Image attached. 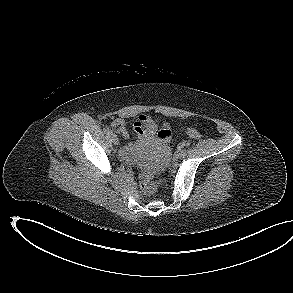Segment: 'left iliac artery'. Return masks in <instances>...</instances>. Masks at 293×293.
<instances>
[{
  "label": "left iliac artery",
  "instance_id": "obj_1",
  "mask_svg": "<svg viewBox=\"0 0 293 293\" xmlns=\"http://www.w3.org/2000/svg\"><path fill=\"white\" fill-rule=\"evenodd\" d=\"M188 145H189L188 142H182L179 148L180 150L182 149L183 151H186V148L188 147Z\"/></svg>",
  "mask_w": 293,
  "mask_h": 293
}]
</instances>
